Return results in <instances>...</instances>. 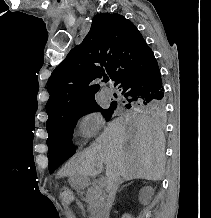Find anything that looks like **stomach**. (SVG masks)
<instances>
[{
  "mask_svg": "<svg viewBox=\"0 0 211 218\" xmlns=\"http://www.w3.org/2000/svg\"><path fill=\"white\" fill-rule=\"evenodd\" d=\"M70 183L74 188H84L87 185V177L85 175L75 173L70 175Z\"/></svg>",
  "mask_w": 211,
  "mask_h": 218,
  "instance_id": "0dacf381",
  "label": "stomach"
}]
</instances>
